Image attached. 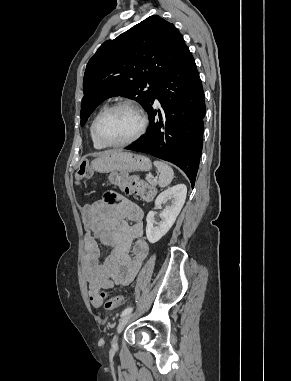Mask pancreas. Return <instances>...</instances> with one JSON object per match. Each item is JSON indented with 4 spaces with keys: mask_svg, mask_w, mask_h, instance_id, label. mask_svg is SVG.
Masks as SVG:
<instances>
[{
    "mask_svg": "<svg viewBox=\"0 0 291 381\" xmlns=\"http://www.w3.org/2000/svg\"><path fill=\"white\" fill-rule=\"evenodd\" d=\"M146 180L147 182L152 185V186H156L157 182L155 179H152V178H149V177H146Z\"/></svg>",
    "mask_w": 291,
    "mask_h": 381,
    "instance_id": "cf45deb5",
    "label": "pancreas"
}]
</instances>
